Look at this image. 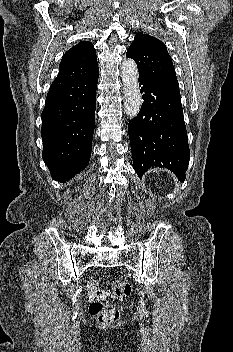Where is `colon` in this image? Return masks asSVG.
I'll return each mask as SVG.
<instances>
[{
	"label": "colon",
	"mask_w": 233,
	"mask_h": 352,
	"mask_svg": "<svg viewBox=\"0 0 233 352\" xmlns=\"http://www.w3.org/2000/svg\"><path fill=\"white\" fill-rule=\"evenodd\" d=\"M90 300L89 312L100 322H113L119 318L118 307L110 303L111 299L128 297L132 293L131 285L122 278L112 281L110 289L98 285V280L90 279L86 286Z\"/></svg>",
	"instance_id": "colon-1"
}]
</instances>
